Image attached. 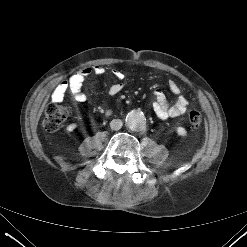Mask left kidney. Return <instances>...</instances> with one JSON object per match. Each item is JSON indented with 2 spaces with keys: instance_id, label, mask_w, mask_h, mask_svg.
I'll use <instances>...</instances> for the list:
<instances>
[{
  "instance_id": "1",
  "label": "left kidney",
  "mask_w": 247,
  "mask_h": 247,
  "mask_svg": "<svg viewBox=\"0 0 247 247\" xmlns=\"http://www.w3.org/2000/svg\"><path fill=\"white\" fill-rule=\"evenodd\" d=\"M176 132L179 136H186L187 135V131L184 127L178 126L176 127Z\"/></svg>"
}]
</instances>
